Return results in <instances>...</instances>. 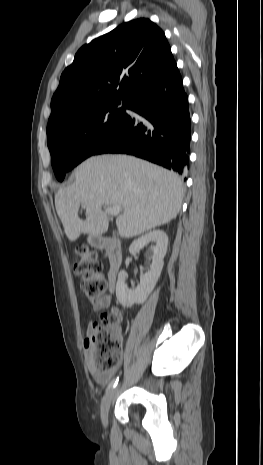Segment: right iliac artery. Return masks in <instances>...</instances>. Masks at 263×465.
<instances>
[{"instance_id":"right-iliac-artery-1","label":"right iliac artery","mask_w":263,"mask_h":465,"mask_svg":"<svg viewBox=\"0 0 263 465\" xmlns=\"http://www.w3.org/2000/svg\"><path fill=\"white\" fill-rule=\"evenodd\" d=\"M118 381H119V376H117L116 378H114L107 386V389H106V392H108L109 390L115 388L118 384Z\"/></svg>"}]
</instances>
